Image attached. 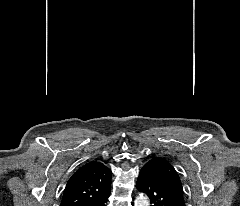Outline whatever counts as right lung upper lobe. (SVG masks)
<instances>
[{"label": "right lung upper lobe", "mask_w": 240, "mask_h": 206, "mask_svg": "<svg viewBox=\"0 0 240 206\" xmlns=\"http://www.w3.org/2000/svg\"><path fill=\"white\" fill-rule=\"evenodd\" d=\"M110 185V169L100 162H89L69 179L60 206H85L110 192Z\"/></svg>", "instance_id": "right-lung-upper-lobe-1"}]
</instances>
